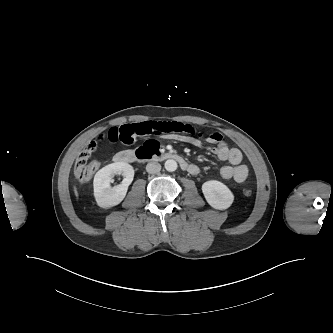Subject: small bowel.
Returning <instances> with one entry per match:
<instances>
[{
    "instance_id": "c3829d8e",
    "label": "small bowel",
    "mask_w": 333,
    "mask_h": 333,
    "mask_svg": "<svg viewBox=\"0 0 333 333\" xmlns=\"http://www.w3.org/2000/svg\"><path fill=\"white\" fill-rule=\"evenodd\" d=\"M151 134L186 142L197 148L201 147V137L204 135L199 128L190 124L146 121L113 127L106 134V138L113 143L121 142L131 145L138 138ZM206 139L208 142L215 144L209 148V151L220 160L229 163L220 169V176L224 180H235L238 183L244 182L248 177L249 170L245 164H242L241 151L237 148L228 147L223 141L222 135L218 132L207 134ZM191 165L192 169L189 172L194 175L198 174L200 168L197 165Z\"/></svg>"
}]
</instances>
